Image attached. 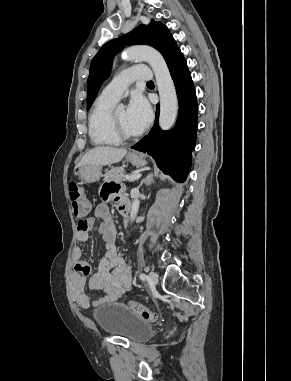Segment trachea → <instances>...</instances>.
Masks as SVG:
<instances>
[{
    "instance_id": "trachea-1",
    "label": "trachea",
    "mask_w": 291,
    "mask_h": 381,
    "mask_svg": "<svg viewBox=\"0 0 291 381\" xmlns=\"http://www.w3.org/2000/svg\"><path fill=\"white\" fill-rule=\"evenodd\" d=\"M147 84H153V82L152 81H148Z\"/></svg>"
}]
</instances>
